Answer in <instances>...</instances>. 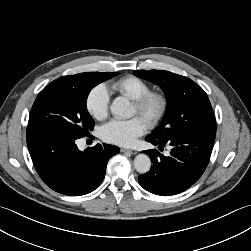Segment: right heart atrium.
Instances as JSON below:
<instances>
[{"label":"right heart atrium","instance_id":"d8ad5b80","mask_svg":"<svg viewBox=\"0 0 251 251\" xmlns=\"http://www.w3.org/2000/svg\"><path fill=\"white\" fill-rule=\"evenodd\" d=\"M110 96L104 85H97L90 90L86 98V109L96 120L104 119L109 110Z\"/></svg>","mask_w":251,"mask_h":251}]
</instances>
